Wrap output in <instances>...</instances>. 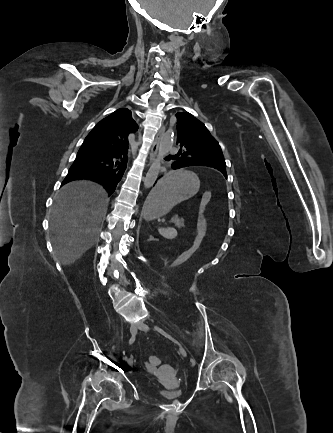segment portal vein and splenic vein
<instances>
[{"label":"portal vein and splenic vein","instance_id":"portal-vein-and-splenic-vein-1","mask_svg":"<svg viewBox=\"0 0 333 433\" xmlns=\"http://www.w3.org/2000/svg\"><path fill=\"white\" fill-rule=\"evenodd\" d=\"M175 225H178V222H175Z\"/></svg>","mask_w":333,"mask_h":433}]
</instances>
